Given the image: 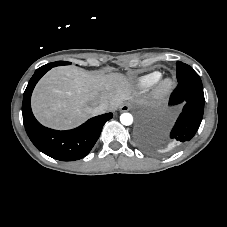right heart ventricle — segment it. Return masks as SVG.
Wrapping results in <instances>:
<instances>
[{
    "label": "right heart ventricle",
    "instance_id": "right-heart-ventricle-1",
    "mask_svg": "<svg viewBox=\"0 0 227 227\" xmlns=\"http://www.w3.org/2000/svg\"><path fill=\"white\" fill-rule=\"evenodd\" d=\"M160 76L161 74L158 71L148 73L146 75L139 77L136 80V85L140 88L150 87L159 80Z\"/></svg>",
    "mask_w": 227,
    "mask_h": 227
}]
</instances>
